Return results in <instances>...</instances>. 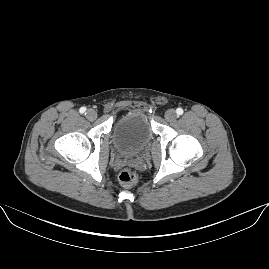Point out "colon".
<instances>
[{
    "mask_svg": "<svg viewBox=\"0 0 269 269\" xmlns=\"http://www.w3.org/2000/svg\"><path fill=\"white\" fill-rule=\"evenodd\" d=\"M119 181L124 186H134L137 182V175L131 168H123L119 173Z\"/></svg>",
    "mask_w": 269,
    "mask_h": 269,
    "instance_id": "1",
    "label": "colon"
}]
</instances>
